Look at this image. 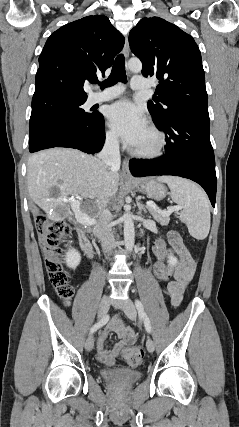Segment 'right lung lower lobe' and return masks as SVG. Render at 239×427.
Masks as SVG:
<instances>
[{
	"mask_svg": "<svg viewBox=\"0 0 239 427\" xmlns=\"http://www.w3.org/2000/svg\"><path fill=\"white\" fill-rule=\"evenodd\" d=\"M105 141L104 117L96 113L85 124L71 114H64L48 122L30 143V152L52 147L79 149L88 154L99 152Z\"/></svg>",
	"mask_w": 239,
	"mask_h": 427,
	"instance_id": "98d812e1",
	"label": "right lung lower lobe"
}]
</instances>
